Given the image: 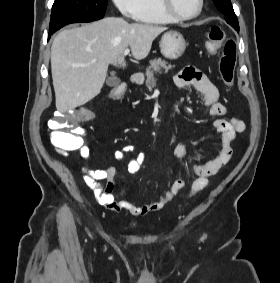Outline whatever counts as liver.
<instances>
[{"instance_id":"obj_1","label":"liver","mask_w":280,"mask_h":283,"mask_svg":"<svg viewBox=\"0 0 280 283\" xmlns=\"http://www.w3.org/2000/svg\"><path fill=\"white\" fill-rule=\"evenodd\" d=\"M165 30L156 25L129 24L116 17L62 30L51 47L57 110L65 113L96 97L109 64L125 67L122 54L128 46L135 59H144L154 39Z\"/></svg>"}]
</instances>
